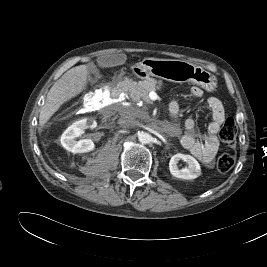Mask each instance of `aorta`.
Masks as SVG:
<instances>
[{
    "label": "aorta",
    "instance_id": "aorta-1",
    "mask_svg": "<svg viewBox=\"0 0 267 267\" xmlns=\"http://www.w3.org/2000/svg\"><path fill=\"white\" fill-rule=\"evenodd\" d=\"M138 139L142 144H148L151 142L152 136L149 133L142 132L139 134Z\"/></svg>",
    "mask_w": 267,
    "mask_h": 267
}]
</instances>
